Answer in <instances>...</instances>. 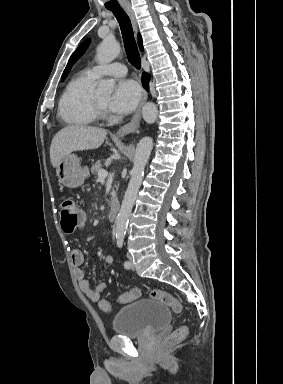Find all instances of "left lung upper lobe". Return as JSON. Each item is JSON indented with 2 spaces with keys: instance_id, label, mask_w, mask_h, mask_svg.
I'll use <instances>...</instances> for the list:
<instances>
[{
  "instance_id": "left-lung-upper-lobe-1",
  "label": "left lung upper lobe",
  "mask_w": 283,
  "mask_h": 384,
  "mask_svg": "<svg viewBox=\"0 0 283 384\" xmlns=\"http://www.w3.org/2000/svg\"><path fill=\"white\" fill-rule=\"evenodd\" d=\"M90 43V39L85 40L79 47L75 50V52L71 55L69 62L63 72L61 81H63L67 74L70 71L71 66L77 61V59L85 52L86 48L88 47Z\"/></svg>"
}]
</instances>
